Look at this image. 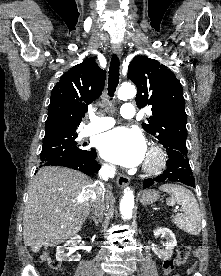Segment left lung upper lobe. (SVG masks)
Instances as JSON below:
<instances>
[{
    "instance_id": "1",
    "label": "left lung upper lobe",
    "mask_w": 221,
    "mask_h": 276,
    "mask_svg": "<svg viewBox=\"0 0 221 276\" xmlns=\"http://www.w3.org/2000/svg\"><path fill=\"white\" fill-rule=\"evenodd\" d=\"M128 78L136 84L138 108L152 106V116L142 127L159 140L168 155H187L185 100L174 73L157 60L135 56L128 67Z\"/></svg>"
}]
</instances>
